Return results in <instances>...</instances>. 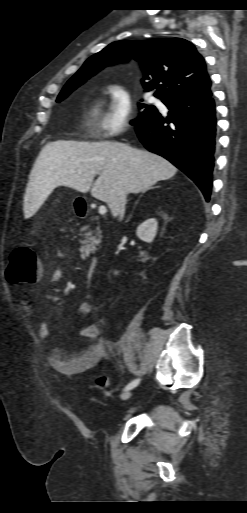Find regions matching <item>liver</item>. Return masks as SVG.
Instances as JSON below:
<instances>
[{
	"mask_svg": "<svg viewBox=\"0 0 247 513\" xmlns=\"http://www.w3.org/2000/svg\"><path fill=\"white\" fill-rule=\"evenodd\" d=\"M177 168L147 150L111 141L58 140L46 144L38 155L24 196L25 216L37 212L58 186L87 193L107 203L117 216L116 201L122 191L139 193L158 181L173 177Z\"/></svg>",
	"mask_w": 247,
	"mask_h": 513,
	"instance_id": "obj_1",
	"label": "liver"
}]
</instances>
